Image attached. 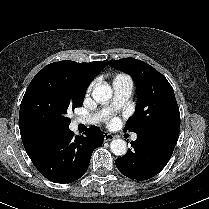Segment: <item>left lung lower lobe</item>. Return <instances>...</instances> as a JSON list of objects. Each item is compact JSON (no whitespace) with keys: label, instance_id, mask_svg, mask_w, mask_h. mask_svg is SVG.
Returning a JSON list of instances; mask_svg holds the SVG:
<instances>
[{"label":"left lung lower lobe","instance_id":"0a47b994","mask_svg":"<svg viewBox=\"0 0 209 209\" xmlns=\"http://www.w3.org/2000/svg\"><path fill=\"white\" fill-rule=\"evenodd\" d=\"M178 134L151 131L137 133V139L131 143L133 149L116 159L117 168L123 175L138 181L154 177L168 163Z\"/></svg>","mask_w":209,"mask_h":209}]
</instances>
